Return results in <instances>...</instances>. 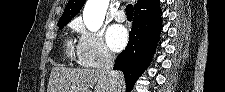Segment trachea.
Returning <instances> with one entry per match:
<instances>
[{
	"label": "trachea",
	"mask_w": 225,
	"mask_h": 92,
	"mask_svg": "<svg viewBox=\"0 0 225 92\" xmlns=\"http://www.w3.org/2000/svg\"><path fill=\"white\" fill-rule=\"evenodd\" d=\"M133 12H134V8L132 4H128L126 6V14L128 18H132L133 17Z\"/></svg>",
	"instance_id": "3493384b"
}]
</instances>
